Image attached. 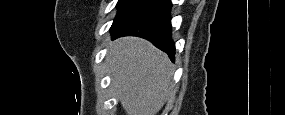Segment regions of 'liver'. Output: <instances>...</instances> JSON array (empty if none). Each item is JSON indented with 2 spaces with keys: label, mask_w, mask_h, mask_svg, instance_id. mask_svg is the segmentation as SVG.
<instances>
[{
  "label": "liver",
  "mask_w": 285,
  "mask_h": 115,
  "mask_svg": "<svg viewBox=\"0 0 285 115\" xmlns=\"http://www.w3.org/2000/svg\"><path fill=\"white\" fill-rule=\"evenodd\" d=\"M106 64L127 115H156L172 89L173 65L150 42L124 37L110 43Z\"/></svg>",
  "instance_id": "obj_1"
}]
</instances>
